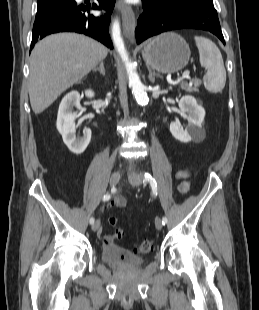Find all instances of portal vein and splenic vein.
Returning <instances> with one entry per match:
<instances>
[{"label": "portal vein and splenic vein", "instance_id": "obj_1", "mask_svg": "<svg viewBox=\"0 0 259 310\" xmlns=\"http://www.w3.org/2000/svg\"><path fill=\"white\" fill-rule=\"evenodd\" d=\"M189 74H190V71H189V70H186V71H184V73H183V77H184V78H188V77H189Z\"/></svg>", "mask_w": 259, "mask_h": 310}]
</instances>
